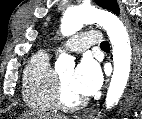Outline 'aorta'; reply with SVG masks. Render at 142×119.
<instances>
[{
  "label": "aorta",
  "mask_w": 142,
  "mask_h": 119,
  "mask_svg": "<svg viewBox=\"0 0 142 119\" xmlns=\"http://www.w3.org/2000/svg\"><path fill=\"white\" fill-rule=\"evenodd\" d=\"M86 23H98L108 34L113 53L114 71L106 95V107L111 108L121 98L130 73L131 46L128 32L121 20L114 14L94 7H70L63 14L60 32L71 36ZM74 59L61 53L56 61V69L74 67Z\"/></svg>",
  "instance_id": "obj_1"
}]
</instances>
